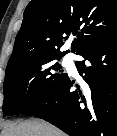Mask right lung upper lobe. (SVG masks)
<instances>
[{
	"instance_id": "1",
	"label": "right lung upper lobe",
	"mask_w": 117,
	"mask_h": 136,
	"mask_svg": "<svg viewBox=\"0 0 117 136\" xmlns=\"http://www.w3.org/2000/svg\"><path fill=\"white\" fill-rule=\"evenodd\" d=\"M117 31V0H32L26 7L9 63L37 55L62 57L68 36L79 55Z\"/></svg>"
}]
</instances>
